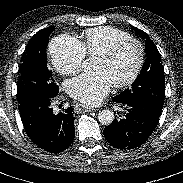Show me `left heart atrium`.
I'll return each mask as SVG.
<instances>
[{
  "mask_svg": "<svg viewBox=\"0 0 183 183\" xmlns=\"http://www.w3.org/2000/svg\"><path fill=\"white\" fill-rule=\"evenodd\" d=\"M112 82L102 71L85 73L69 80L68 94L86 105H96L109 93Z\"/></svg>",
  "mask_w": 183,
  "mask_h": 183,
  "instance_id": "39dd6f15",
  "label": "left heart atrium"
}]
</instances>
